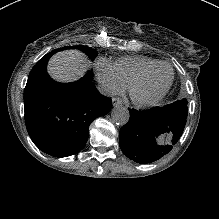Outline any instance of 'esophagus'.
<instances>
[{"mask_svg": "<svg viewBox=\"0 0 219 219\" xmlns=\"http://www.w3.org/2000/svg\"><path fill=\"white\" fill-rule=\"evenodd\" d=\"M121 103H122L121 98H119V97H113L112 98V105L113 106H116V105L121 104Z\"/></svg>", "mask_w": 219, "mask_h": 219, "instance_id": "obj_1", "label": "esophagus"}]
</instances>
